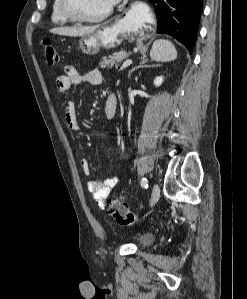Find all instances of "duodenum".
Segmentation results:
<instances>
[{
	"instance_id": "1",
	"label": "duodenum",
	"mask_w": 247,
	"mask_h": 299,
	"mask_svg": "<svg viewBox=\"0 0 247 299\" xmlns=\"http://www.w3.org/2000/svg\"><path fill=\"white\" fill-rule=\"evenodd\" d=\"M116 113V104L114 102H107L105 105V118L110 120L115 116Z\"/></svg>"
}]
</instances>
